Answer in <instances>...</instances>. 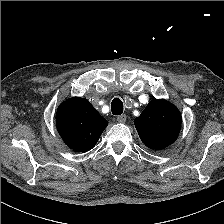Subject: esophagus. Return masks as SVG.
Returning <instances> with one entry per match:
<instances>
[{
	"mask_svg": "<svg viewBox=\"0 0 224 224\" xmlns=\"http://www.w3.org/2000/svg\"><path fill=\"white\" fill-rule=\"evenodd\" d=\"M126 119H127V116L125 114H122L120 116L117 117V121L119 123H125L126 122Z\"/></svg>",
	"mask_w": 224,
	"mask_h": 224,
	"instance_id": "1",
	"label": "esophagus"
}]
</instances>
